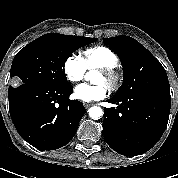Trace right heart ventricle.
<instances>
[{
	"instance_id": "obj_1",
	"label": "right heart ventricle",
	"mask_w": 178,
	"mask_h": 178,
	"mask_svg": "<svg viewBox=\"0 0 178 178\" xmlns=\"http://www.w3.org/2000/svg\"><path fill=\"white\" fill-rule=\"evenodd\" d=\"M82 61L86 69H97L100 67H115L118 58L113 50L106 46H94L83 51Z\"/></svg>"
}]
</instances>
